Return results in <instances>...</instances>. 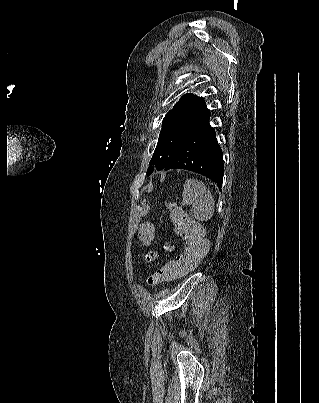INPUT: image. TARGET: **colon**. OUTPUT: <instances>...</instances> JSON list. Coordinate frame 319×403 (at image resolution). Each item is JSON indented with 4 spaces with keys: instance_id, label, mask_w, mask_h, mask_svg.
<instances>
[{
    "instance_id": "5ec220e1",
    "label": "colon",
    "mask_w": 319,
    "mask_h": 403,
    "mask_svg": "<svg viewBox=\"0 0 319 403\" xmlns=\"http://www.w3.org/2000/svg\"><path fill=\"white\" fill-rule=\"evenodd\" d=\"M172 220L175 223V232L178 239L183 243V250L177 259L161 268L148 278V285L155 286L161 282H168L186 274L196 267L206 255L209 247L204 237L202 227L196 221L188 218L181 210L174 209ZM140 234L138 243L147 246L149 243H157V222L150 218L140 219Z\"/></svg>"
}]
</instances>
